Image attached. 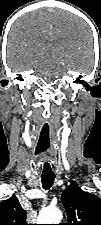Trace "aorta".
<instances>
[{"instance_id": "aorta-1", "label": "aorta", "mask_w": 101, "mask_h": 225, "mask_svg": "<svg viewBox=\"0 0 101 225\" xmlns=\"http://www.w3.org/2000/svg\"><path fill=\"white\" fill-rule=\"evenodd\" d=\"M62 212L57 208H47L40 212L38 224H59L62 220Z\"/></svg>"}]
</instances>
